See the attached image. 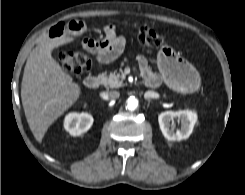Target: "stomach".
<instances>
[{"label": "stomach", "instance_id": "stomach-1", "mask_svg": "<svg viewBox=\"0 0 245 195\" xmlns=\"http://www.w3.org/2000/svg\"><path fill=\"white\" fill-rule=\"evenodd\" d=\"M157 64L165 82L173 90L180 93H193L198 90V72L184 59H180L169 46L161 47Z\"/></svg>", "mask_w": 245, "mask_h": 195}]
</instances>
